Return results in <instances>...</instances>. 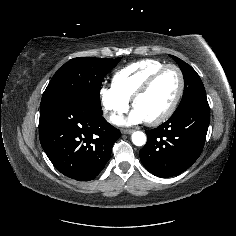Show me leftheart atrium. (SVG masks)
I'll use <instances>...</instances> for the list:
<instances>
[{
	"label": "left heart atrium",
	"mask_w": 236,
	"mask_h": 236,
	"mask_svg": "<svg viewBox=\"0 0 236 236\" xmlns=\"http://www.w3.org/2000/svg\"><path fill=\"white\" fill-rule=\"evenodd\" d=\"M146 121L139 111L134 109L127 118L118 119L117 122L121 125H132Z\"/></svg>",
	"instance_id": "left-heart-atrium-1"
}]
</instances>
